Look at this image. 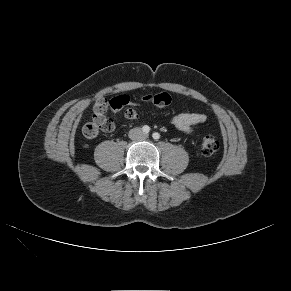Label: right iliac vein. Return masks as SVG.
<instances>
[{"label":"right iliac vein","instance_id":"right-iliac-vein-1","mask_svg":"<svg viewBox=\"0 0 291 291\" xmlns=\"http://www.w3.org/2000/svg\"><path fill=\"white\" fill-rule=\"evenodd\" d=\"M137 131H134L133 133L136 134Z\"/></svg>","mask_w":291,"mask_h":291}]
</instances>
